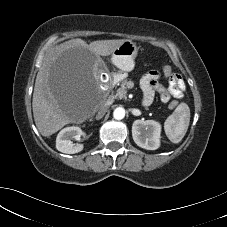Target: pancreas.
<instances>
[{
    "mask_svg": "<svg viewBox=\"0 0 227 227\" xmlns=\"http://www.w3.org/2000/svg\"><path fill=\"white\" fill-rule=\"evenodd\" d=\"M127 84L128 81L125 79L120 83V87L117 89L116 94L113 95V98H119V99H124L126 98L127 94Z\"/></svg>",
    "mask_w": 227,
    "mask_h": 227,
    "instance_id": "pancreas-1",
    "label": "pancreas"
}]
</instances>
